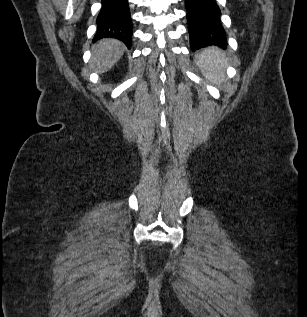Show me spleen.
I'll use <instances>...</instances> for the list:
<instances>
[{"instance_id":"obj_1","label":"spleen","mask_w":307,"mask_h":317,"mask_svg":"<svg viewBox=\"0 0 307 317\" xmlns=\"http://www.w3.org/2000/svg\"><path fill=\"white\" fill-rule=\"evenodd\" d=\"M198 60L203 75L209 81L216 84L223 81L226 61L219 49L210 48L203 51Z\"/></svg>"}]
</instances>
